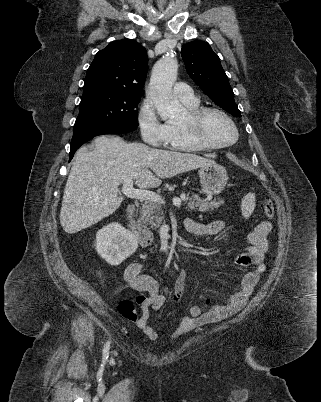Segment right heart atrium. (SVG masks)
Returning a JSON list of instances; mask_svg holds the SVG:
<instances>
[{"mask_svg": "<svg viewBox=\"0 0 321 402\" xmlns=\"http://www.w3.org/2000/svg\"><path fill=\"white\" fill-rule=\"evenodd\" d=\"M141 138L149 145L160 147L167 142V124L163 122L155 107L149 101H144L137 115Z\"/></svg>", "mask_w": 321, "mask_h": 402, "instance_id": "obj_1", "label": "right heart atrium"}]
</instances>
